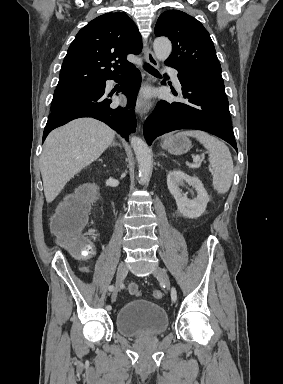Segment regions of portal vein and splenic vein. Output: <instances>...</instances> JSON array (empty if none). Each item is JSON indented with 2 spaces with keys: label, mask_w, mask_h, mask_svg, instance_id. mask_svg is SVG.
Masks as SVG:
<instances>
[{
  "label": "portal vein and splenic vein",
  "mask_w": 283,
  "mask_h": 384,
  "mask_svg": "<svg viewBox=\"0 0 283 384\" xmlns=\"http://www.w3.org/2000/svg\"><path fill=\"white\" fill-rule=\"evenodd\" d=\"M193 162H198V164H196V168H200V156H193Z\"/></svg>",
  "instance_id": "1"
}]
</instances>
